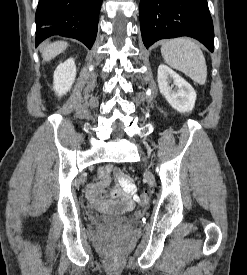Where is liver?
Masks as SVG:
<instances>
[{
  "mask_svg": "<svg viewBox=\"0 0 247 275\" xmlns=\"http://www.w3.org/2000/svg\"><path fill=\"white\" fill-rule=\"evenodd\" d=\"M68 46L67 42L57 41L51 44L46 45L42 50V57L44 61H50L55 58L57 55L62 53Z\"/></svg>",
  "mask_w": 247,
  "mask_h": 275,
  "instance_id": "obj_1",
  "label": "liver"
}]
</instances>
